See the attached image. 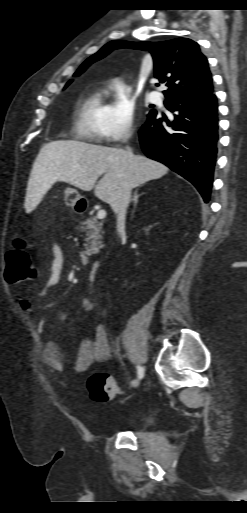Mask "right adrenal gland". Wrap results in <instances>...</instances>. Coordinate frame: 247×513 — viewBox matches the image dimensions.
Segmentation results:
<instances>
[{
    "mask_svg": "<svg viewBox=\"0 0 247 513\" xmlns=\"http://www.w3.org/2000/svg\"><path fill=\"white\" fill-rule=\"evenodd\" d=\"M139 196H140V195L138 194V191L136 190V191L134 192V194H133V198H132V200H133V202H134V210H135V208H136V206H137Z\"/></svg>",
    "mask_w": 247,
    "mask_h": 513,
    "instance_id": "obj_1",
    "label": "right adrenal gland"
}]
</instances>
